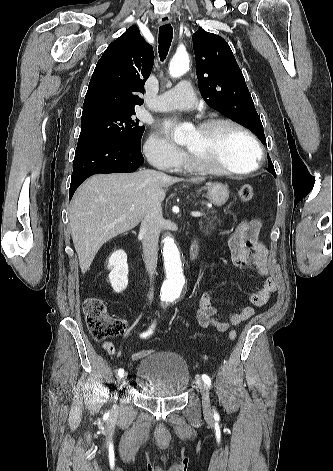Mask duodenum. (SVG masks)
Segmentation results:
<instances>
[{
  "instance_id": "duodenum-1",
  "label": "duodenum",
  "mask_w": 333,
  "mask_h": 471,
  "mask_svg": "<svg viewBox=\"0 0 333 471\" xmlns=\"http://www.w3.org/2000/svg\"><path fill=\"white\" fill-rule=\"evenodd\" d=\"M198 253H199V245L198 243H193L189 249V259L191 261H194L197 256H198Z\"/></svg>"
}]
</instances>
